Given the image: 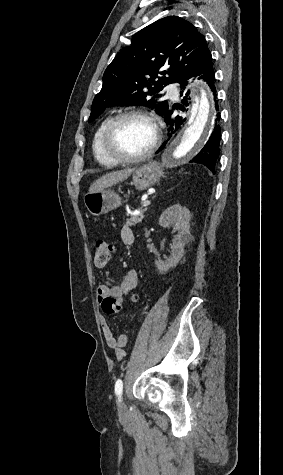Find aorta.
Listing matches in <instances>:
<instances>
[{"instance_id":"762f6f07","label":"aorta","mask_w":283,"mask_h":475,"mask_svg":"<svg viewBox=\"0 0 283 475\" xmlns=\"http://www.w3.org/2000/svg\"><path fill=\"white\" fill-rule=\"evenodd\" d=\"M215 110L208 91L200 88V97H194L190 115L162 154L164 165H172L195 156L203 148L214 126Z\"/></svg>"}]
</instances>
